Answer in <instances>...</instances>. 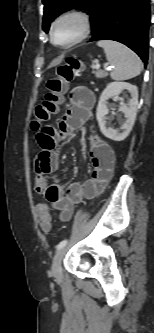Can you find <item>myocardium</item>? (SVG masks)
<instances>
[{
    "instance_id": "f54148a6",
    "label": "myocardium",
    "mask_w": 154,
    "mask_h": 333,
    "mask_svg": "<svg viewBox=\"0 0 154 333\" xmlns=\"http://www.w3.org/2000/svg\"><path fill=\"white\" fill-rule=\"evenodd\" d=\"M67 19H74L78 22V31L76 35L68 42L60 43L55 39V30L57 25ZM92 29V21L90 15L82 9H71L60 13L54 18L50 25V40L51 42L61 48H70L85 40L90 34Z\"/></svg>"
}]
</instances>
